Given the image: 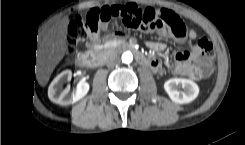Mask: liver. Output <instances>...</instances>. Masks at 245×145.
<instances>
[{"mask_svg":"<svg viewBox=\"0 0 245 145\" xmlns=\"http://www.w3.org/2000/svg\"><path fill=\"white\" fill-rule=\"evenodd\" d=\"M67 20L54 25L46 34L38 50L36 73L41 84H45L66 50Z\"/></svg>","mask_w":245,"mask_h":145,"instance_id":"obj_1","label":"liver"}]
</instances>
